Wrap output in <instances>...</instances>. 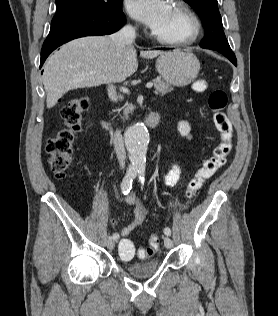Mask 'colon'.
<instances>
[{"label":"colon","mask_w":278,"mask_h":316,"mask_svg":"<svg viewBox=\"0 0 278 316\" xmlns=\"http://www.w3.org/2000/svg\"><path fill=\"white\" fill-rule=\"evenodd\" d=\"M207 84L204 80L194 83V89L202 92ZM227 94L223 90L212 91L208 98V106L212 112L213 123L219 134V143L215 146L211 156L206 158L201 167L189 181L186 189V198L193 199L204 184L225 165L232 149V125L225 108L227 106ZM89 108V100L80 98L67 104L61 111L63 127L51 137L46 145L48 162L57 179H62L71 165L73 154V142L75 134L81 128V116ZM159 249V239L156 235H151L148 246L138 251L140 258L153 255ZM119 255L123 259H131L135 255V246L129 239H122L118 246Z\"/></svg>","instance_id":"5ec220e1"}]
</instances>
